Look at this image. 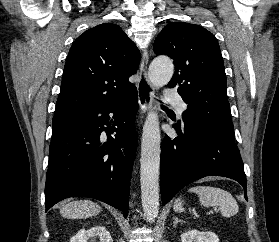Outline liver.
Here are the masks:
<instances>
[{"instance_id": "6515ba94", "label": "liver", "mask_w": 279, "mask_h": 242, "mask_svg": "<svg viewBox=\"0 0 279 242\" xmlns=\"http://www.w3.org/2000/svg\"><path fill=\"white\" fill-rule=\"evenodd\" d=\"M101 207L89 200L73 201L65 204L60 214L65 218L81 219L99 214Z\"/></svg>"}]
</instances>
